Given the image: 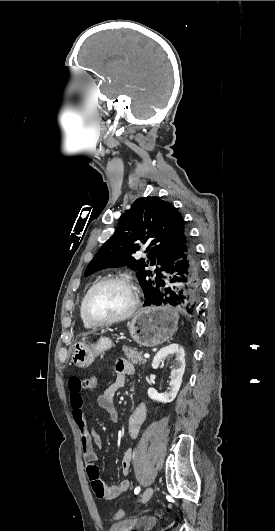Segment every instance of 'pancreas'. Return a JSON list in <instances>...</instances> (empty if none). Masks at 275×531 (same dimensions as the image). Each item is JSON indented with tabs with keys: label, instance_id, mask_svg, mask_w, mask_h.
<instances>
[{
	"label": "pancreas",
	"instance_id": "1",
	"mask_svg": "<svg viewBox=\"0 0 275 531\" xmlns=\"http://www.w3.org/2000/svg\"><path fill=\"white\" fill-rule=\"evenodd\" d=\"M122 351L133 365H145L147 363V359H142V351L138 353L137 349H131V347H122Z\"/></svg>",
	"mask_w": 275,
	"mask_h": 531
}]
</instances>
